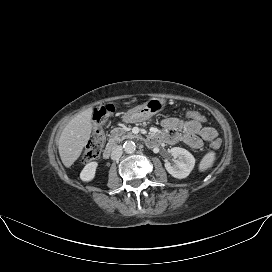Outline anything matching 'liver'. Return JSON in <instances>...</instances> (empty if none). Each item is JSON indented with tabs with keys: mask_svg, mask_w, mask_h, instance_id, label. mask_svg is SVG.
<instances>
[{
	"mask_svg": "<svg viewBox=\"0 0 272 272\" xmlns=\"http://www.w3.org/2000/svg\"><path fill=\"white\" fill-rule=\"evenodd\" d=\"M91 110L77 114L63 129L58 143L60 158L70 167L81 155L92 130Z\"/></svg>",
	"mask_w": 272,
	"mask_h": 272,
	"instance_id": "liver-1",
	"label": "liver"
}]
</instances>
